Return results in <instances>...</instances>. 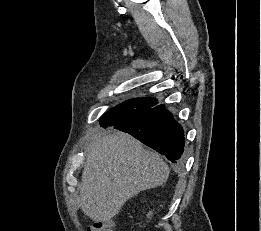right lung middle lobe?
<instances>
[{"instance_id":"right-lung-middle-lobe-1","label":"right lung middle lobe","mask_w":261,"mask_h":231,"mask_svg":"<svg viewBox=\"0 0 261 231\" xmlns=\"http://www.w3.org/2000/svg\"><path fill=\"white\" fill-rule=\"evenodd\" d=\"M157 103V100L153 98L128 100L106 113L101 118L100 125L106 128L107 126H115L126 122L153 108Z\"/></svg>"}]
</instances>
